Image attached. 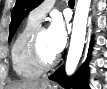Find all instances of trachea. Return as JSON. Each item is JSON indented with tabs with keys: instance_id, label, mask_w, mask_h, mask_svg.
<instances>
[{
	"instance_id": "trachea-1",
	"label": "trachea",
	"mask_w": 107,
	"mask_h": 89,
	"mask_svg": "<svg viewBox=\"0 0 107 89\" xmlns=\"http://www.w3.org/2000/svg\"><path fill=\"white\" fill-rule=\"evenodd\" d=\"M68 4H69V5H74V4H75V1H74V0H69Z\"/></svg>"
}]
</instances>
